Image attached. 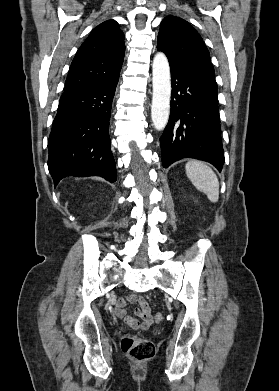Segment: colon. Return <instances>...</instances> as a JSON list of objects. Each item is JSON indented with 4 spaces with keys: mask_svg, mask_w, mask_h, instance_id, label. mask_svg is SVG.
<instances>
[{
    "mask_svg": "<svg viewBox=\"0 0 279 391\" xmlns=\"http://www.w3.org/2000/svg\"><path fill=\"white\" fill-rule=\"evenodd\" d=\"M156 322L163 320L161 313L155 314L154 317ZM122 350L131 358L137 361H145L152 358L155 354L154 344L143 338L123 336L121 338Z\"/></svg>",
    "mask_w": 279,
    "mask_h": 391,
    "instance_id": "obj_1",
    "label": "colon"
}]
</instances>
